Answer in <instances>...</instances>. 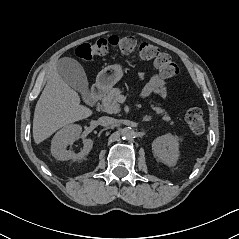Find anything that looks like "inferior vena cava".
I'll return each instance as SVG.
<instances>
[{
    "instance_id": "602c4592",
    "label": "inferior vena cava",
    "mask_w": 239,
    "mask_h": 239,
    "mask_svg": "<svg viewBox=\"0 0 239 239\" xmlns=\"http://www.w3.org/2000/svg\"><path fill=\"white\" fill-rule=\"evenodd\" d=\"M98 122L101 126H110L114 124L115 119L109 116H102L98 119Z\"/></svg>"
}]
</instances>
